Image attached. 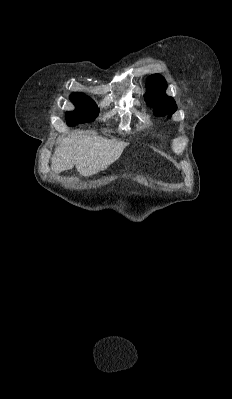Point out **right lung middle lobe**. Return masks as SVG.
Here are the masks:
<instances>
[{
    "label": "right lung middle lobe",
    "mask_w": 232,
    "mask_h": 399,
    "mask_svg": "<svg viewBox=\"0 0 232 399\" xmlns=\"http://www.w3.org/2000/svg\"><path fill=\"white\" fill-rule=\"evenodd\" d=\"M70 100L76 109L66 112L68 126L91 122L97 117L99 113L98 107L90 97L86 95H71Z\"/></svg>",
    "instance_id": "1"
}]
</instances>
